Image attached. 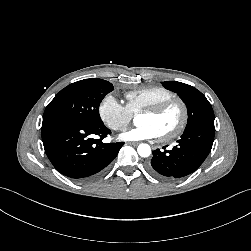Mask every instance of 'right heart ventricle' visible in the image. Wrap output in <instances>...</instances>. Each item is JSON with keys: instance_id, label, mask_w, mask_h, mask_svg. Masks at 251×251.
Wrapping results in <instances>:
<instances>
[{"instance_id": "right-heart-ventricle-1", "label": "right heart ventricle", "mask_w": 251, "mask_h": 251, "mask_svg": "<svg viewBox=\"0 0 251 251\" xmlns=\"http://www.w3.org/2000/svg\"><path fill=\"white\" fill-rule=\"evenodd\" d=\"M175 94L162 86H151L125 93L126 106L132 114L174 98Z\"/></svg>"}]
</instances>
